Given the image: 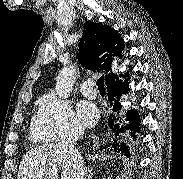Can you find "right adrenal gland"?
<instances>
[{
	"instance_id": "obj_1",
	"label": "right adrenal gland",
	"mask_w": 183,
	"mask_h": 179,
	"mask_svg": "<svg viewBox=\"0 0 183 179\" xmlns=\"http://www.w3.org/2000/svg\"><path fill=\"white\" fill-rule=\"evenodd\" d=\"M93 173H92V168L88 167L86 169V179H92Z\"/></svg>"
}]
</instances>
